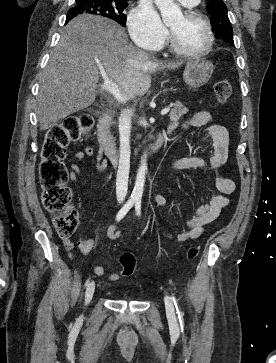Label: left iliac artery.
<instances>
[{
  "mask_svg": "<svg viewBox=\"0 0 276 363\" xmlns=\"http://www.w3.org/2000/svg\"><path fill=\"white\" fill-rule=\"evenodd\" d=\"M135 210H136V213L138 216H140L141 214V201L140 200H136L135 202ZM172 301L174 302L175 304V307H176V310H177V314H178V318H179V321H180V324L182 323L181 319L183 317V314L182 312L179 311L178 307H177V304H178V299L172 295Z\"/></svg>",
  "mask_w": 276,
  "mask_h": 363,
  "instance_id": "left-iliac-artery-1",
  "label": "left iliac artery"
}]
</instances>
